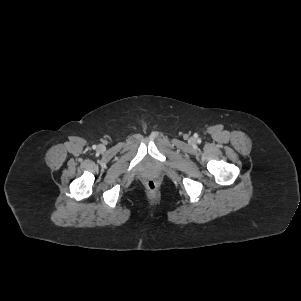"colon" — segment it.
Returning a JSON list of instances; mask_svg holds the SVG:
<instances>
[{
  "label": "colon",
  "instance_id": "obj_1",
  "mask_svg": "<svg viewBox=\"0 0 301 301\" xmlns=\"http://www.w3.org/2000/svg\"><path fill=\"white\" fill-rule=\"evenodd\" d=\"M158 185L156 183V181L154 180H149L147 182V188L150 190V191H155L157 189Z\"/></svg>",
  "mask_w": 301,
  "mask_h": 301
}]
</instances>
